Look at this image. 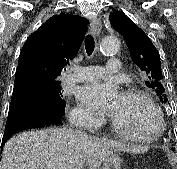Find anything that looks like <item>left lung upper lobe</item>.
I'll use <instances>...</instances> for the list:
<instances>
[{"instance_id": "obj_1", "label": "left lung upper lobe", "mask_w": 177, "mask_h": 169, "mask_svg": "<svg viewBox=\"0 0 177 169\" xmlns=\"http://www.w3.org/2000/svg\"><path fill=\"white\" fill-rule=\"evenodd\" d=\"M114 28L124 37L133 62L139 67L145 83L154 90L162 103L166 97L161 71L160 56L151 40L123 12L110 13Z\"/></svg>"}]
</instances>
